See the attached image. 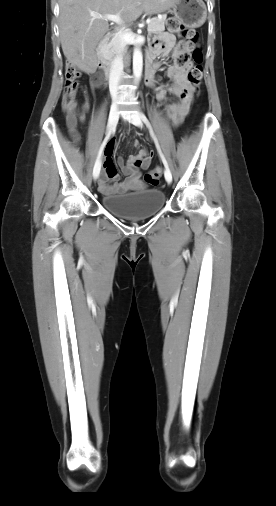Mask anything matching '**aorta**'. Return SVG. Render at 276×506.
Returning <instances> with one entry per match:
<instances>
[{"label": "aorta", "mask_w": 276, "mask_h": 506, "mask_svg": "<svg viewBox=\"0 0 276 506\" xmlns=\"http://www.w3.org/2000/svg\"><path fill=\"white\" fill-rule=\"evenodd\" d=\"M143 55L139 46H136L133 52V75L135 81L138 82L142 75Z\"/></svg>", "instance_id": "obj_1"}]
</instances>
